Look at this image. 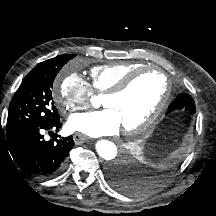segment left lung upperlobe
<instances>
[{
	"label": "left lung upper lobe",
	"mask_w": 216,
	"mask_h": 216,
	"mask_svg": "<svg viewBox=\"0 0 216 216\" xmlns=\"http://www.w3.org/2000/svg\"><path fill=\"white\" fill-rule=\"evenodd\" d=\"M177 97H181L180 94ZM184 100V105L180 108V109H185L187 110L190 114H194L195 113V103L193 101V99L190 96H187L186 99ZM142 191H144V189H139L138 187H136L135 185L133 186V189L130 192H127L128 194H137V193H141Z\"/></svg>",
	"instance_id": "obj_1"
}]
</instances>
